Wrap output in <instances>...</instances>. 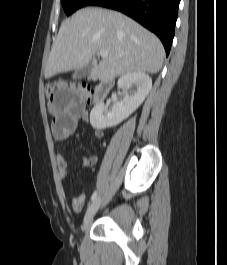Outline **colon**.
Returning <instances> with one entry per match:
<instances>
[{
	"mask_svg": "<svg viewBox=\"0 0 227 265\" xmlns=\"http://www.w3.org/2000/svg\"><path fill=\"white\" fill-rule=\"evenodd\" d=\"M56 87H79V91H84V99L89 101L91 99V89L82 84H68V83H48L44 87V93L46 99L50 102L51 96H53V91H56Z\"/></svg>",
	"mask_w": 227,
	"mask_h": 265,
	"instance_id": "1",
	"label": "colon"
}]
</instances>
